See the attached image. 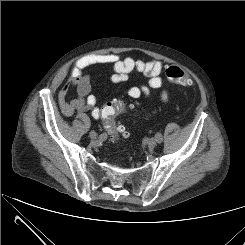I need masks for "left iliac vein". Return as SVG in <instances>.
I'll return each instance as SVG.
<instances>
[{"instance_id":"4c4485c4","label":"left iliac vein","mask_w":245,"mask_h":245,"mask_svg":"<svg viewBox=\"0 0 245 245\" xmlns=\"http://www.w3.org/2000/svg\"><path fill=\"white\" fill-rule=\"evenodd\" d=\"M157 143L158 142H157V140L155 138H151L149 140V142H148V145H149L150 148H154V147H156Z\"/></svg>"}]
</instances>
